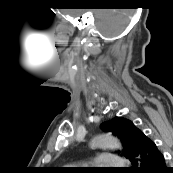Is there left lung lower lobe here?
Listing matches in <instances>:
<instances>
[{"label": "left lung lower lobe", "instance_id": "obj_1", "mask_svg": "<svg viewBox=\"0 0 173 173\" xmlns=\"http://www.w3.org/2000/svg\"><path fill=\"white\" fill-rule=\"evenodd\" d=\"M130 161L127 173H166L165 160L156 144L143 132H138L137 143L126 157Z\"/></svg>", "mask_w": 173, "mask_h": 173}]
</instances>
